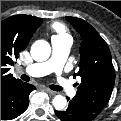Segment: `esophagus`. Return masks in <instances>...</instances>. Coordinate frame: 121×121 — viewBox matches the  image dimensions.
<instances>
[{
    "mask_svg": "<svg viewBox=\"0 0 121 121\" xmlns=\"http://www.w3.org/2000/svg\"><path fill=\"white\" fill-rule=\"evenodd\" d=\"M44 90H45L47 93H49L50 95H55V94H56L55 91L50 90V89H48V88H45Z\"/></svg>",
    "mask_w": 121,
    "mask_h": 121,
    "instance_id": "1",
    "label": "esophagus"
}]
</instances>
